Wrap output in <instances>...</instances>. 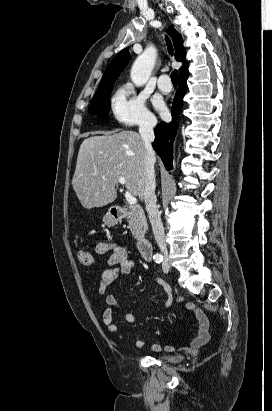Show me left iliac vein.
Segmentation results:
<instances>
[{
  "label": "left iliac vein",
  "instance_id": "4c4485c4",
  "mask_svg": "<svg viewBox=\"0 0 272 411\" xmlns=\"http://www.w3.org/2000/svg\"><path fill=\"white\" fill-rule=\"evenodd\" d=\"M162 269H163L164 273H168V271H169V266H168V263H167V262H164V263H163Z\"/></svg>",
  "mask_w": 272,
  "mask_h": 411
}]
</instances>
